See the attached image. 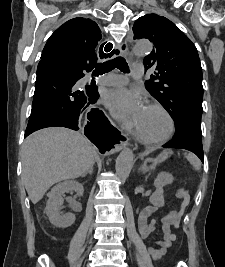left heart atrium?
<instances>
[{
    "label": "left heart atrium",
    "instance_id": "obj_1",
    "mask_svg": "<svg viewBox=\"0 0 225 267\" xmlns=\"http://www.w3.org/2000/svg\"><path fill=\"white\" fill-rule=\"evenodd\" d=\"M105 101L117 116L133 125H136L144 109L140 95L125 88L110 91Z\"/></svg>",
    "mask_w": 225,
    "mask_h": 267
}]
</instances>
